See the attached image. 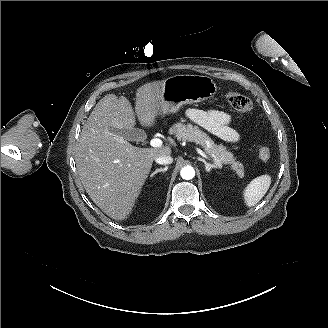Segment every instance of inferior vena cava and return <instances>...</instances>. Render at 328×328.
I'll return each instance as SVG.
<instances>
[{
	"label": "inferior vena cava",
	"mask_w": 328,
	"mask_h": 328,
	"mask_svg": "<svg viewBox=\"0 0 328 328\" xmlns=\"http://www.w3.org/2000/svg\"><path fill=\"white\" fill-rule=\"evenodd\" d=\"M155 161L158 164L167 165V164H171L173 162V158L169 155H161V156H158L155 159Z\"/></svg>",
	"instance_id": "obj_1"
}]
</instances>
